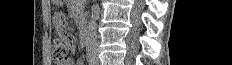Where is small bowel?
<instances>
[{
  "mask_svg": "<svg viewBox=\"0 0 232 65\" xmlns=\"http://www.w3.org/2000/svg\"><path fill=\"white\" fill-rule=\"evenodd\" d=\"M53 16L59 37H74V32H67L70 31V26H68V20L67 17L64 16V12H54ZM63 65H73V62L68 61Z\"/></svg>",
  "mask_w": 232,
  "mask_h": 65,
  "instance_id": "1",
  "label": "small bowel"
}]
</instances>
